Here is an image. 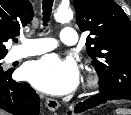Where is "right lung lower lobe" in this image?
Instances as JSON below:
<instances>
[{"mask_svg": "<svg viewBox=\"0 0 131 115\" xmlns=\"http://www.w3.org/2000/svg\"><path fill=\"white\" fill-rule=\"evenodd\" d=\"M11 74H0V108L14 115H39V96L28 83L12 80Z\"/></svg>", "mask_w": 131, "mask_h": 115, "instance_id": "obj_1", "label": "right lung lower lobe"}]
</instances>
